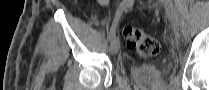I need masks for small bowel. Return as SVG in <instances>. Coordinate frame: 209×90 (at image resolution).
Segmentation results:
<instances>
[{
    "mask_svg": "<svg viewBox=\"0 0 209 90\" xmlns=\"http://www.w3.org/2000/svg\"><path fill=\"white\" fill-rule=\"evenodd\" d=\"M99 3L101 4V5H107L108 4V1H106V0H100L99 1ZM93 19H96V17H93Z\"/></svg>",
    "mask_w": 209,
    "mask_h": 90,
    "instance_id": "small-bowel-1",
    "label": "small bowel"
}]
</instances>
